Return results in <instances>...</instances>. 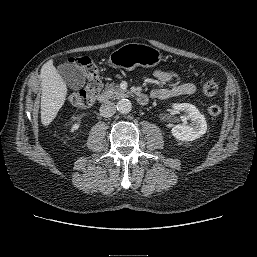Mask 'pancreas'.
Listing matches in <instances>:
<instances>
[{"label":"pancreas","mask_w":257,"mask_h":257,"mask_svg":"<svg viewBox=\"0 0 257 257\" xmlns=\"http://www.w3.org/2000/svg\"><path fill=\"white\" fill-rule=\"evenodd\" d=\"M104 95L111 99H117L126 95V90H122L118 85L111 83L107 84Z\"/></svg>","instance_id":"cf45deb5"}]
</instances>
